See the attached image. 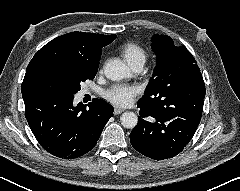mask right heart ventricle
I'll return each instance as SVG.
<instances>
[{"instance_id":"right-heart-ventricle-1","label":"right heart ventricle","mask_w":240,"mask_h":191,"mask_svg":"<svg viewBox=\"0 0 240 191\" xmlns=\"http://www.w3.org/2000/svg\"><path fill=\"white\" fill-rule=\"evenodd\" d=\"M121 54L129 65L134 61H145L146 59L145 50L141 46L134 43H127L123 45L121 47Z\"/></svg>"}]
</instances>
